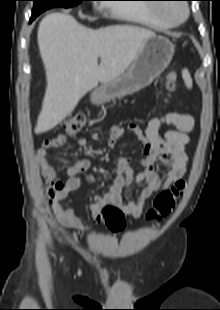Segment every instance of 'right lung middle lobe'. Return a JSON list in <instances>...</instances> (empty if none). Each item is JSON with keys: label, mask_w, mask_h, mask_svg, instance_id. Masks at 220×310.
<instances>
[{"label": "right lung middle lobe", "mask_w": 220, "mask_h": 310, "mask_svg": "<svg viewBox=\"0 0 220 310\" xmlns=\"http://www.w3.org/2000/svg\"><path fill=\"white\" fill-rule=\"evenodd\" d=\"M34 6L32 15H39L47 9L55 7L69 8L78 5L86 0H33Z\"/></svg>", "instance_id": "1"}]
</instances>
